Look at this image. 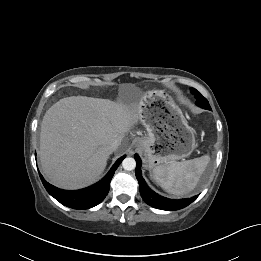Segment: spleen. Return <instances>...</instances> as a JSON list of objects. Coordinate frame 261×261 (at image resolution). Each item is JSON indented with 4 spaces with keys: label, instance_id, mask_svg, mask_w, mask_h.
I'll return each mask as SVG.
<instances>
[{
    "label": "spleen",
    "instance_id": "1",
    "mask_svg": "<svg viewBox=\"0 0 261 261\" xmlns=\"http://www.w3.org/2000/svg\"><path fill=\"white\" fill-rule=\"evenodd\" d=\"M210 161L208 155L183 162H171L153 169L151 178L173 195H184L192 191Z\"/></svg>",
    "mask_w": 261,
    "mask_h": 261
}]
</instances>
